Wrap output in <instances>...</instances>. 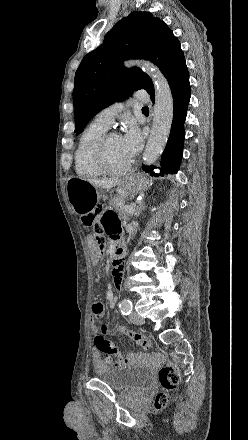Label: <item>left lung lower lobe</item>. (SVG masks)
Instances as JSON below:
<instances>
[{
  "instance_id": "1",
  "label": "left lung lower lobe",
  "mask_w": 248,
  "mask_h": 440,
  "mask_svg": "<svg viewBox=\"0 0 248 440\" xmlns=\"http://www.w3.org/2000/svg\"><path fill=\"white\" fill-rule=\"evenodd\" d=\"M171 92L174 99L173 121L170 136L163 152L160 173L153 171V166L143 165L142 169L151 176H163L164 174L177 173L182 157L184 142V121L186 111L190 100L189 77L174 83L171 86ZM154 102V97L151 98Z\"/></svg>"
}]
</instances>
